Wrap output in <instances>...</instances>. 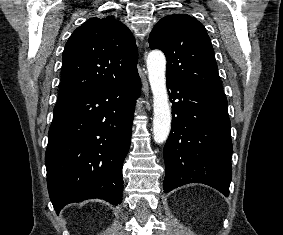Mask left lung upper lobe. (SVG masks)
I'll list each match as a JSON object with an SVG mask.
<instances>
[{
	"label": "left lung upper lobe",
	"mask_w": 283,
	"mask_h": 235,
	"mask_svg": "<svg viewBox=\"0 0 283 235\" xmlns=\"http://www.w3.org/2000/svg\"><path fill=\"white\" fill-rule=\"evenodd\" d=\"M149 44L151 49L165 53L167 78H179L206 90L223 92L211 40L194 17L165 16L150 33Z\"/></svg>",
	"instance_id": "5c2ea615"
}]
</instances>
